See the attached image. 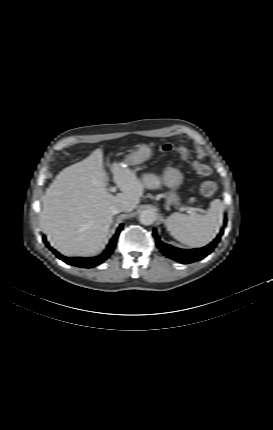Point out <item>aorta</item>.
Wrapping results in <instances>:
<instances>
[{"label": "aorta", "instance_id": "obj_1", "mask_svg": "<svg viewBox=\"0 0 273 430\" xmlns=\"http://www.w3.org/2000/svg\"><path fill=\"white\" fill-rule=\"evenodd\" d=\"M156 219H157V214L152 209L143 210L139 215V221L143 225H151L156 221Z\"/></svg>", "mask_w": 273, "mask_h": 430}]
</instances>
